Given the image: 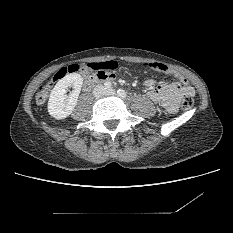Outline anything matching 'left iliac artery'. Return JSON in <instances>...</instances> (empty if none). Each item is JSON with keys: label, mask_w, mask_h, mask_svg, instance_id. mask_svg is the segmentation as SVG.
I'll return each mask as SVG.
<instances>
[{"label": "left iliac artery", "mask_w": 233, "mask_h": 233, "mask_svg": "<svg viewBox=\"0 0 233 233\" xmlns=\"http://www.w3.org/2000/svg\"><path fill=\"white\" fill-rule=\"evenodd\" d=\"M117 93L121 98H126V92L123 89H119Z\"/></svg>", "instance_id": "obj_1"}]
</instances>
